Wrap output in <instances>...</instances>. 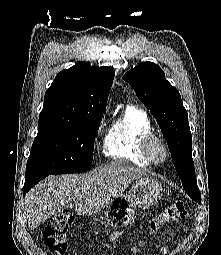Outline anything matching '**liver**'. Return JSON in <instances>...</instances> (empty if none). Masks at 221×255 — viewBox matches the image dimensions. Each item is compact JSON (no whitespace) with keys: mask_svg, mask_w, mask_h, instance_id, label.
<instances>
[{"mask_svg":"<svg viewBox=\"0 0 221 255\" xmlns=\"http://www.w3.org/2000/svg\"><path fill=\"white\" fill-rule=\"evenodd\" d=\"M142 168L115 161L85 174L48 176L25 197L28 226L37 228L63 208L92 216L123 194L133 181L147 176Z\"/></svg>","mask_w":221,"mask_h":255,"instance_id":"obj_1","label":"liver"}]
</instances>
